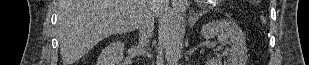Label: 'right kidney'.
Listing matches in <instances>:
<instances>
[{"label":"right kidney","instance_id":"obj_1","mask_svg":"<svg viewBox=\"0 0 309 65\" xmlns=\"http://www.w3.org/2000/svg\"><path fill=\"white\" fill-rule=\"evenodd\" d=\"M124 43L114 41L107 45L98 58V65H121L123 60Z\"/></svg>","mask_w":309,"mask_h":65}]
</instances>
